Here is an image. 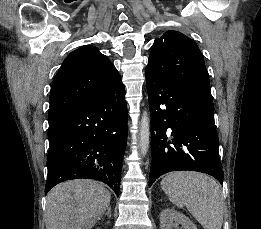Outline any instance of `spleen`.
I'll list each match as a JSON object with an SVG mask.
<instances>
[{"label":"spleen","instance_id":"spleen-1","mask_svg":"<svg viewBox=\"0 0 261 229\" xmlns=\"http://www.w3.org/2000/svg\"><path fill=\"white\" fill-rule=\"evenodd\" d=\"M160 185L169 201L179 209L186 207L203 229H221L225 205L214 179L195 171H173Z\"/></svg>","mask_w":261,"mask_h":229}]
</instances>
